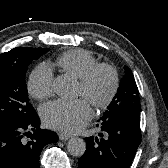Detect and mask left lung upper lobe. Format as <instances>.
I'll return each instance as SVG.
<instances>
[{
  "mask_svg": "<svg viewBox=\"0 0 168 168\" xmlns=\"http://www.w3.org/2000/svg\"><path fill=\"white\" fill-rule=\"evenodd\" d=\"M125 76L122 78L117 94L108 106L103 117L113 114H140L141 105L139 91L131 70L125 66Z\"/></svg>",
  "mask_w": 168,
  "mask_h": 168,
  "instance_id": "obj_1",
  "label": "left lung upper lobe"
}]
</instances>
